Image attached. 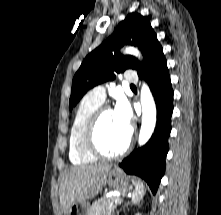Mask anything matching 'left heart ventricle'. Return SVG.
I'll use <instances>...</instances> for the list:
<instances>
[{"label":"left heart ventricle","mask_w":221,"mask_h":215,"mask_svg":"<svg viewBox=\"0 0 221 215\" xmlns=\"http://www.w3.org/2000/svg\"><path fill=\"white\" fill-rule=\"evenodd\" d=\"M130 131L118 122L114 111L107 112L101 119L97 139L100 147L107 153L120 151L129 139Z\"/></svg>","instance_id":"left-heart-ventricle-1"}]
</instances>
